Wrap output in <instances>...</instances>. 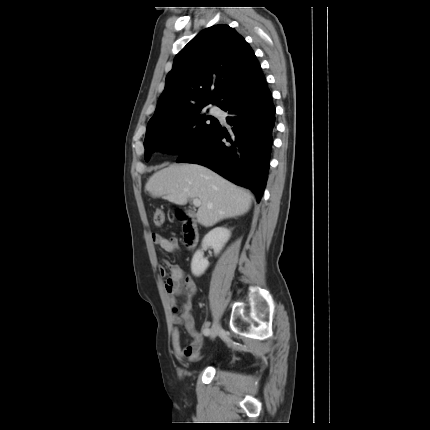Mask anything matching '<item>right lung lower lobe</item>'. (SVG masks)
Here are the masks:
<instances>
[{
  "mask_svg": "<svg viewBox=\"0 0 430 430\" xmlns=\"http://www.w3.org/2000/svg\"><path fill=\"white\" fill-rule=\"evenodd\" d=\"M230 95L219 107L228 112L231 130L218 123L200 147L180 155L177 162L204 165L252 190L259 203L269 172L275 106L265 77L235 88Z\"/></svg>",
  "mask_w": 430,
  "mask_h": 430,
  "instance_id": "right-lung-lower-lobe-1",
  "label": "right lung lower lobe"
}]
</instances>
